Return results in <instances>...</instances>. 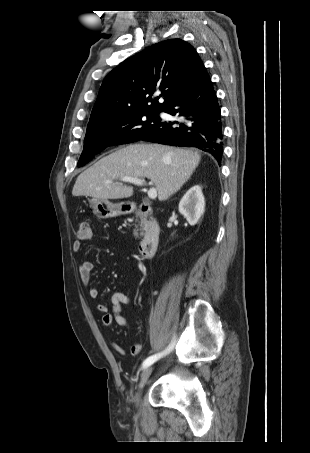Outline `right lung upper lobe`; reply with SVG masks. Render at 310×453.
I'll return each instance as SVG.
<instances>
[{
  "instance_id": "right-lung-upper-lobe-1",
  "label": "right lung upper lobe",
  "mask_w": 310,
  "mask_h": 453,
  "mask_svg": "<svg viewBox=\"0 0 310 453\" xmlns=\"http://www.w3.org/2000/svg\"><path fill=\"white\" fill-rule=\"evenodd\" d=\"M204 68L196 50L170 39L126 59L103 80L88 126L141 110H162L187 88ZM158 97L152 99L155 92ZM163 97L162 103L158 99Z\"/></svg>"
}]
</instances>
